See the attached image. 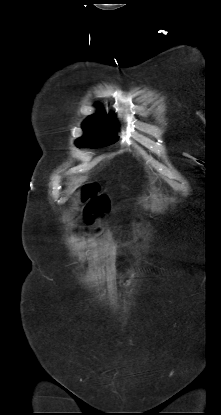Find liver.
<instances>
[{
	"label": "liver",
	"mask_w": 221,
	"mask_h": 415,
	"mask_svg": "<svg viewBox=\"0 0 221 415\" xmlns=\"http://www.w3.org/2000/svg\"><path fill=\"white\" fill-rule=\"evenodd\" d=\"M84 180H85V178L75 179V180L72 182V184H78L79 182H82V181H84Z\"/></svg>",
	"instance_id": "1"
}]
</instances>
